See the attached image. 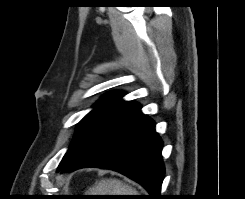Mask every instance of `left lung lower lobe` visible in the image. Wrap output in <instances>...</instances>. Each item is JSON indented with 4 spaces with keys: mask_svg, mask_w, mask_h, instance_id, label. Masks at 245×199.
Listing matches in <instances>:
<instances>
[{
    "mask_svg": "<svg viewBox=\"0 0 245 199\" xmlns=\"http://www.w3.org/2000/svg\"><path fill=\"white\" fill-rule=\"evenodd\" d=\"M133 103L101 129L78 158L62 172L83 167L118 171L141 184L150 199H160L164 179L161 151L163 142L155 132L153 120Z\"/></svg>",
    "mask_w": 245,
    "mask_h": 199,
    "instance_id": "left-lung-lower-lobe-1",
    "label": "left lung lower lobe"
}]
</instances>
